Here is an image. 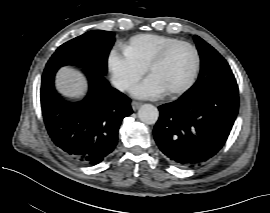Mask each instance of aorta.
<instances>
[{
    "label": "aorta",
    "instance_id": "aorta-1",
    "mask_svg": "<svg viewBox=\"0 0 270 213\" xmlns=\"http://www.w3.org/2000/svg\"><path fill=\"white\" fill-rule=\"evenodd\" d=\"M138 117L145 124H155L159 117V111L152 104H144L138 111Z\"/></svg>",
    "mask_w": 270,
    "mask_h": 213
}]
</instances>
